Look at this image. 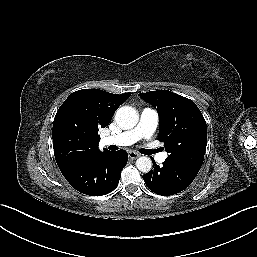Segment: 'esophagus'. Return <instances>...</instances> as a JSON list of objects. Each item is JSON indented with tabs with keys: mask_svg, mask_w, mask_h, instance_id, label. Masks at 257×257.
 Instances as JSON below:
<instances>
[{
	"mask_svg": "<svg viewBox=\"0 0 257 257\" xmlns=\"http://www.w3.org/2000/svg\"><path fill=\"white\" fill-rule=\"evenodd\" d=\"M139 156H140V154L135 152V151H129L128 152V157L130 159H137Z\"/></svg>",
	"mask_w": 257,
	"mask_h": 257,
	"instance_id": "esophagus-1",
	"label": "esophagus"
}]
</instances>
